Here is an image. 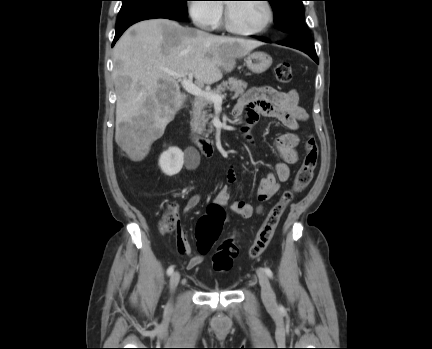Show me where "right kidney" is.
<instances>
[{"label":"right kidney","instance_id":"right-kidney-1","mask_svg":"<svg viewBox=\"0 0 432 349\" xmlns=\"http://www.w3.org/2000/svg\"><path fill=\"white\" fill-rule=\"evenodd\" d=\"M159 166L162 172L168 176L178 174L184 164V153L178 147H170L159 158Z\"/></svg>","mask_w":432,"mask_h":349}]
</instances>
